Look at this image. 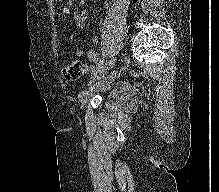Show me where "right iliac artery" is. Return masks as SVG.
<instances>
[{
    "instance_id": "right-iliac-artery-1",
    "label": "right iliac artery",
    "mask_w": 219,
    "mask_h": 192,
    "mask_svg": "<svg viewBox=\"0 0 219 192\" xmlns=\"http://www.w3.org/2000/svg\"><path fill=\"white\" fill-rule=\"evenodd\" d=\"M103 63H104V59H100L99 62H98V64L96 65L94 71H96V70H98L99 68H101L102 65H103Z\"/></svg>"
}]
</instances>
